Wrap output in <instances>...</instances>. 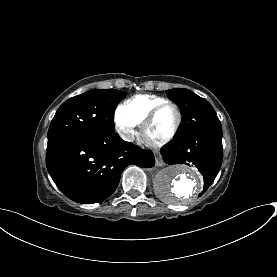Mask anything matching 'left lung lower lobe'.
<instances>
[{
  "label": "left lung lower lobe",
  "mask_w": 277,
  "mask_h": 277,
  "mask_svg": "<svg viewBox=\"0 0 277 277\" xmlns=\"http://www.w3.org/2000/svg\"><path fill=\"white\" fill-rule=\"evenodd\" d=\"M161 154L169 165L194 164L204 177L205 192L222 164V128H206L178 136L175 142L161 149Z\"/></svg>",
  "instance_id": "obj_1"
}]
</instances>
